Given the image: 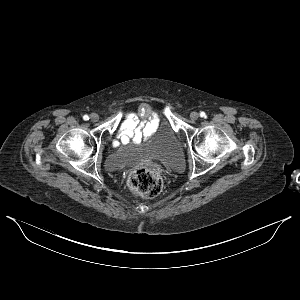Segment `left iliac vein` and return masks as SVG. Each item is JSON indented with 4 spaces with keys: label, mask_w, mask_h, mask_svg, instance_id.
I'll list each match as a JSON object with an SVG mask.
<instances>
[{
    "label": "left iliac vein",
    "mask_w": 300,
    "mask_h": 300,
    "mask_svg": "<svg viewBox=\"0 0 300 300\" xmlns=\"http://www.w3.org/2000/svg\"><path fill=\"white\" fill-rule=\"evenodd\" d=\"M198 118H199V114H198L197 112H192V113L190 114V119H191L192 121H196V120H198Z\"/></svg>",
    "instance_id": "1"
}]
</instances>
